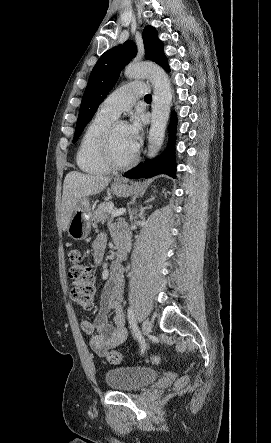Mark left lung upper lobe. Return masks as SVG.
<instances>
[{"label":"left lung upper lobe","instance_id":"obj_1","mask_svg":"<svg viewBox=\"0 0 271 443\" xmlns=\"http://www.w3.org/2000/svg\"><path fill=\"white\" fill-rule=\"evenodd\" d=\"M143 41L147 59L156 62L164 55L163 43L158 39L155 28L147 26L144 29ZM136 53V45L131 41H126L123 45L106 51L100 57L91 72L82 98L73 142L79 138L99 104L115 85L121 70L135 57Z\"/></svg>","mask_w":271,"mask_h":443}]
</instances>
